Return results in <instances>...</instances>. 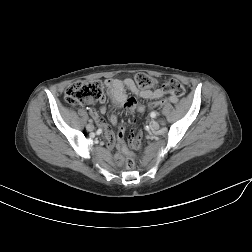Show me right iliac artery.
Listing matches in <instances>:
<instances>
[{
	"label": "right iliac artery",
	"instance_id": "right-iliac-artery-1",
	"mask_svg": "<svg viewBox=\"0 0 252 252\" xmlns=\"http://www.w3.org/2000/svg\"><path fill=\"white\" fill-rule=\"evenodd\" d=\"M102 133H103V130H102V129H98V130H97V134H98V135H101Z\"/></svg>",
	"mask_w": 252,
	"mask_h": 252
}]
</instances>
